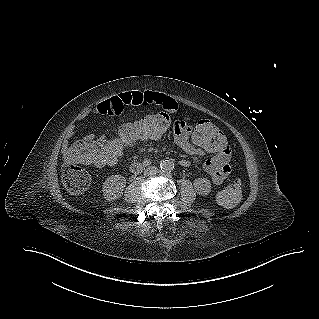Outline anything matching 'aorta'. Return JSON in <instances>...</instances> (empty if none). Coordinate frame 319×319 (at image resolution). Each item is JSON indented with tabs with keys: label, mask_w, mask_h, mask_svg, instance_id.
Here are the masks:
<instances>
[{
	"label": "aorta",
	"mask_w": 319,
	"mask_h": 319,
	"mask_svg": "<svg viewBox=\"0 0 319 319\" xmlns=\"http://www.w3.org/2000/svg\"><path fill=\"white\" fill-rule=\"evenodd\" d=\"M174 168V164L170 160H163L160 163V169L162 172L168 173L171 172Z\"/></svg>",
	"instance_id": "aorta-1"
}]
</instances>
